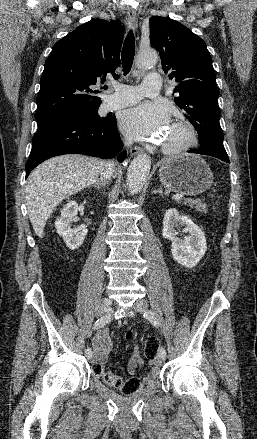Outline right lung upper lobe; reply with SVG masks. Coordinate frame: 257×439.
Returning a JSON list of instances; mask_svg holds the SVG:
<instances>
[{"label":"right lung upper lobe","mask_w":257,"mask_h":439,"mask_svg":"<svg viewBox=\"0 0 257 439\" xmlns=\"http://www.w3.org/2000/svg\"><path fill=\"white\" fill-rule=\"evenodd\" d=\"M123 35L119 21L96 19L59 40L45 62L36 120L98 107L94 86L116 76Z\"/></svg>","instance_id":"obj_1"}]
</instances>
